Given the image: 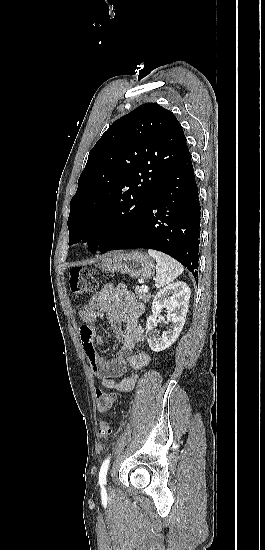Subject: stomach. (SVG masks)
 I'll list each match as a JSON object with an SVG mask.
<instances>
[{"label": "stomach", "instance_id": "obj_1", "mask_svg": "<svg viewBox=\"0 0 265 550\" xmlns=\"http://www.w3.org/2000/svg\"><path fill=\"white\" fill-rule=\"evenodd\" d=\"M100 268L106 273L121 272L137 279H149L154 273L153 260L141 251L108 253L102 258Z\"/></svg>", "mask_w": 265, "mask_h": 550}]
</instances>
